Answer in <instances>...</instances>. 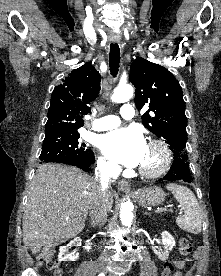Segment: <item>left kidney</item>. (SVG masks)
<instances>
[{
    "label": "left kidney",
    "mask_w": 221,
    "mask_h": 276,
    "mask_svg": "<svg viewBox=\"0 0 221 276\" xmlns=\"http://www.w3.org/2000/svg\"><path fill=\"white\" fill-rule=\"evenodd\" d=\"M161 236H162V244L164 245V251L158 252L155 249L153 251L160 260L165 261L169 257L170 251L175 246V240H174V237L167 231H163L161 233Z\"/></svg>",
    "instance_id": "obj_1"
}]
</instances>
